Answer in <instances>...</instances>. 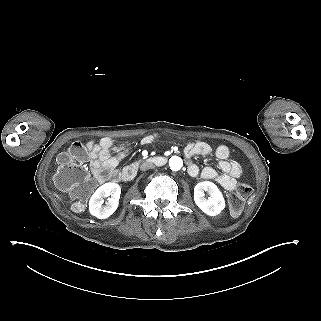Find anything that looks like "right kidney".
Masks as SVG:
<instances>
[{
    "instance_id": "obj_1",
    "label": "right kidney",
    "mask_w": 321,
    "mask_h": 321,
    "mask_svg": "<svg viewBox=\"0 0 321 321\" xmlns=\"http://www.w3.org/2000/svg\"><path fill=\"white\" fill-rule=\"evenodd\" d=\"M120 186L116 183L108 182L100 186L89 201V213L98 219L109 218L118 208L120 197ZM110 196L105 206L104 197Z\"/></svg>"
}]
</instances>
